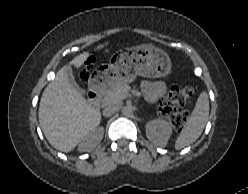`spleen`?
Returning a JSON list of instances; mask_svg holds the SVG:
<instances>
[{
  "mask_svg": "<svg viewBox=\"0 0 248 194\" xmlns=\"http://www.w3.org/2000/svg\"><path fill=\"white\" fill-rule=\"evenodd\" d=\"M209 116V99L208 94L203 91L200 93L194 110L192 111L183 130L177 137L175 149H182L194 143L202 134V131L208 121Z\"/></svg>",
  "mask_w": 248,
  "mask_h": 194,
  "instance_id": "1",
  "label": "spleen"
}]
</instances>
